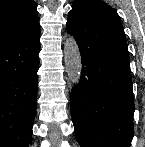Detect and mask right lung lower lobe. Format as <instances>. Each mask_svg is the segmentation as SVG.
Returning a JSON list of instances; mask_svg holds the SVG:
<instances>
[{
	"label": "right lung lower lobe",
	"mask_w": 145,
	"mask_h": 147,
	"mask_svg": "<svg viewBox=\"0 0 145 147\" xmlns=\"http://www.w3.org/2000/svg\"><path fill=\"white\" fill-rule=\"evenodd\" d=\"M40 27L0 44V147H29L36 114Z\"/></svg>",
	"instance_id": "1"
}]
</instances>
